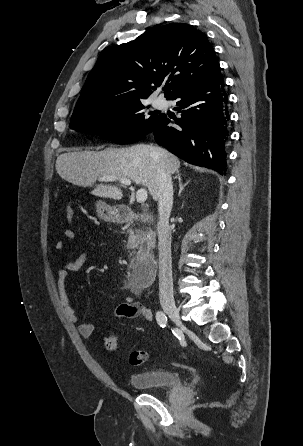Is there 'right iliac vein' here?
<instances>
[{"mask_svg":"<svg viewBox=\"0 0 303 446\" xmlns=\"http://www.w3.org/2000/svg\"><path fill=\"white\" fill-rule=\"evenodd\" d=\"M162 307L173 322H175L178 326H182L179 310L174 303H163Z\"/></svg>","mask_w":303,"mask_h":446,"instance_id":"obj_1","label":"right iliac vein"}]
</instances>
